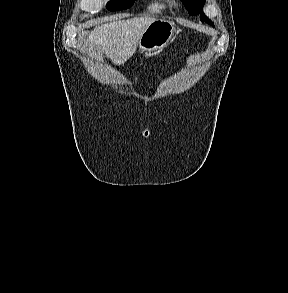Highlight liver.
<instances>
[{"instance_id": "obj_1", "label": "liver", "mask_w": 288, "mask_h": 293, "mask_svg": "<svg viewBox=\"0 0 288 293\" xmlns=\"http://www.w3.org/2000/svg\"><path fill=\"white\" fill-rule=\"evenodd\" d=\"M155 20L154 17H134L105 23L89 33L86 43L94 56L101 51L113 63L122 65L135 53L142 34Z\"/></svg>"}]
</instances>
